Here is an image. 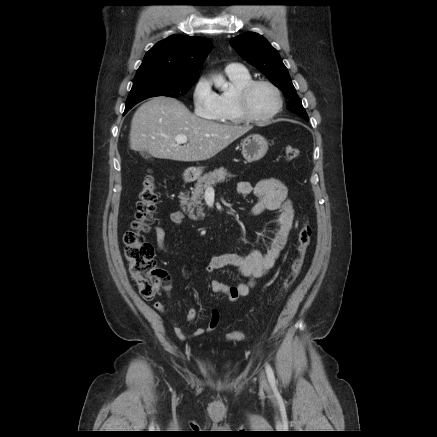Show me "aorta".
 Segmentation results:
<instances>
[{"mask_svg": "<svg viewBox=\"0 0 437 437\" xmlns=\"http://www.w3.org/2000/svg\"><path fill=\"white\" fill-rule=\"evenodd\" d=\"M215 86L217 88L223 89L227 86V83L223 79H220V80L215 81Z\"/></svg>", "mask_w": 437, "mask_h": 437, "instance_id": "762f6f07", "label": "aorta"}]
</instances>
